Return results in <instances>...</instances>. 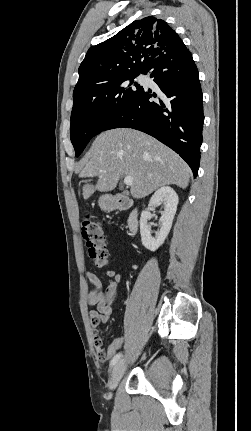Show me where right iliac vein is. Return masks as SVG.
Segmentation results:
<instances>
[{
  "mask_svg": "<svg viewBox=\"0 0 251 431\" xmlns=\"http://www.w3.org/2000/svg\"><path fill=\"white\" fill-rule=\"evenodd\" d=\"M125 371H126L125 360H120L119 362H117L115 364V366L113 367L111 379L109 382V387L111 390H114L117 387V385H118L120 379L123 377Z\"/></svg>",
  "mask_w": 251,
  "mask_h": 431,
  "instance_id": "63e3f726",
  "label": "right iliac vein"
}]
</instances>
